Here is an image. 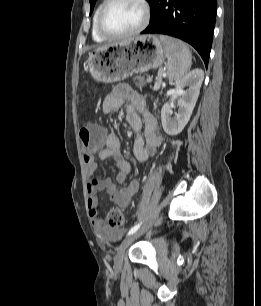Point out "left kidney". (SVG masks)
Here are the masks:
<instances>
[{"label":"left kidney","mask_w":261,"mask_h":306,"mask_svg":"<svg viewBox=\"0 0 261 306\" xmlns=\"http://www.w3.org/2000/svg\"><path fill=\"white\" fill-rule=\"evenodd\" d=\"M203 79V70L194 69L174 82L175 88L170 93V102L165 103L161 110L162 126L168 135L174 136L181 133L187 125L198 99ZM185 87H187L186 90H184ZM176 99L178 111L173 116L172 107Z\"/></svg>","instance_id":"left-kidney-1"}]
</instances>
